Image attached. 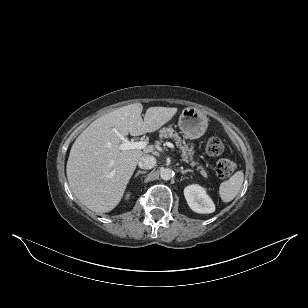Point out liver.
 <instances>
[{"label":"liver","mask_w":308,"mask_h":308,"mask_svg":"<svg viewBox=\"0 0 308 308\" xmlns=\"http://www.w3.org/2000/svg\"><path fill=\"white\" fill-rule=\"evenodd\" d=\"M143 106L134 103L115 109L93 121L73 143L67 161L69 186L80 202L95 212H109L121 201L139 159L153 151L119 150L121 139L157 131L177 112L172 107H150L144 119Z\"/></svg>","instance_id":"1"}]
</instances>
